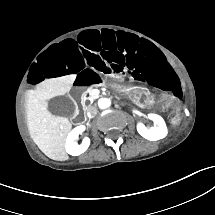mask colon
<instances>
[{"label": "colon", "instance_id": "colon-1", "mask_svg": "<svg viewBox=\"0 0 215 215\" xmlns=\"http://www.w3.org/2000/svg\"><path fill=\"white\" fill-rule=\"evenodd\" d=\"M170 118H171L172 120H174V119H175V116H174V115H171Z\"/></svg>", "mask_w": 215, "mask_h": 215}]
</instances>
